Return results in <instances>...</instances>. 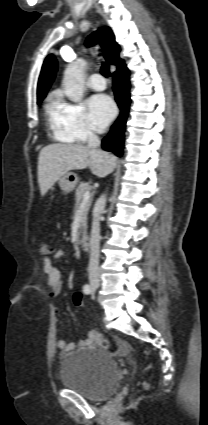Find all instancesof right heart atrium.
Wrapping results in <instances>:
<instances>
[{"instance_id":"right-heart-atrium-1","label":"right heart atrium","mask_w":208,"mask_h":425,"mask_svg":"<svg viewBox=\"0 0 208 425\" xmlns=\"http://www.w3.org/2000/svg\"><path fill=\"white\" fill-rule=\"evenodd\" d=\"M56 112L58 125L74 141L84 143L94 137V132L82 105L58 97Z\"/></svg>"}]
</instances>
